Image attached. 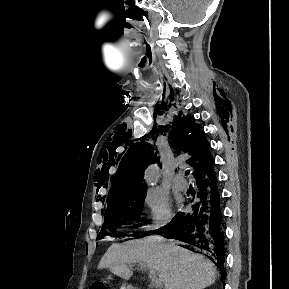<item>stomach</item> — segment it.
<instances>
[{
	"label": "stomach",
	"instance_id": "stomach-1",
	"mask_svg": "<svg viewBox=\"0 0 289 289\" xmlns=\"http://www.w3.org/2000/svg\"><path fill=\"white\" fill-rule=\"evenodd\" d=\"M122 289H131L129 286H124Z\"/></svg>",
	"mask_w": 289,
	"mask_h": 289
}]
</instances>
